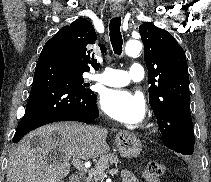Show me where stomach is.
<instances>
[{
    "instance_id": "1",
    "label": "stomach",
    "mask_w": 211,
    "mask_h": 182,
    "mask_svg": "<svg viewBox=\"0 0 211 182\" xmlns=\"http://www.w3.org/2000/svg\"><path fill=\"white\" fill-rule=\"evenodd\" d=\"M116 146L122 157L132 158L140 154L141 141L133 134L119 133L115 139Z\"/></svg>"
}]
</instances>
